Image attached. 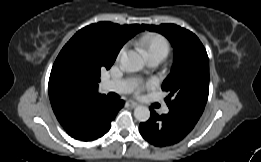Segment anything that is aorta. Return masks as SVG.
<instances>
[{
	"mask_svg": "<svg viewBox=\"0 0 261 162\" xmlns=\"http://www.w3.org/2000/svg\"><path fill=\"white\" fill-rule=\"evenodd\" d=\"M121 66L128 72H137L144 67V59L136 51H129L121 56ZM135 118L140 122H146L150 118V110L147 106H138L134 110Z\"/></svg>",
	"mask_w": 261,
	"mask_h": 162,
	"instance_id": "aorta-1",
	"label": "aorta"
}]
</instances>
